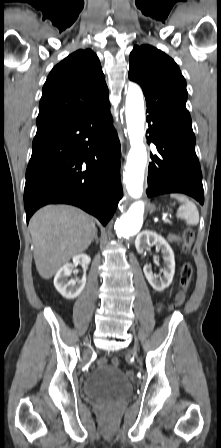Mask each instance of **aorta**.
Listing matches in <instances>:
<instances>
[{
  "label": "aorta",
  "mask_w": 221,
  "mask_h": 448,
  "mask_svg": "<svg viewBox=\"0 0 221 448\" xmlns=\"http://www.w3.org/2000/svg\"><path fill=\"white\" fill-rule=\"evenodd\" d=\"M144 99L140 87L130 83L126 96V123L131 149L127 156L123 180L128 194L141 198L143 194L144 172L147 163V150L144 144ZM144 203L134 202L128 211L115 222L118 237H129L137 233L143 223Z\"/></svg>",
  "instance_id": "aorta-1"
}]
</instances>
